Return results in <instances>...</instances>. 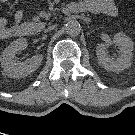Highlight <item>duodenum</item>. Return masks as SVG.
Listing matches in <instances>:
<instances>
[{
	"label": "duodenum",
	"mask_w": 135,
	"mask_h": 135,
	"mask_svg": "<svg viewBox=\"0 0 135 135\" xmlns=\"http://www.w3.org/2000/svg\"><path fill=\"white\" fill-rule=\"evenodd\" d=\"M21 32L27 34V33H29V30L28 29H25V28H21Z\"/></svg>",
	"instance_id": "duodenum-1"
}]
</instances>
